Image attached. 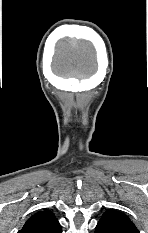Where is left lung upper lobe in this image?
I'll return each mask as SVG.
<instances>
[{"mask_svg": "<svg viewBox=\"0 0 148 233\" xmlns=\"http://www.w3.org/2000/svg\"><path fill=\"white\" fill-rule=\"evenodd\" d=\"M95 233H139V231L125 214L110 209L102 215Z\"/></svg>", "mask_w": 148, "mask_h": 233, "instance_id": "5c2ea615", "label": "left lung upper lobe"}]
</instances>
